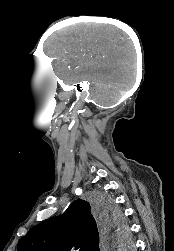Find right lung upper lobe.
Wrapping results in <instances>:
<instances>
[{
    "instance_id": "right-lung-upper-lobe-1",
    "label": "right lung upper lobe",
    "mask_w": 174,
    "mask_h": 251,
    "mask_svg": "<svg viewBox=\"0 0 174 251\" xmlns=\"http://www.w3.org/2000/svg\"><path fill=\"white\" fill-rule=\"evenodd\" d=\"M102 230L95 207L78 199L60 217L33 227L17 247L18 251H99Z\"/></svg>"
}]
</instances>
